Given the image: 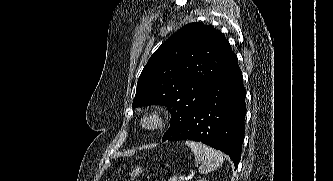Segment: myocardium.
<instances>
[{
    "label": "myocardium",
    "mask_w": 333,
    "mask_h": 181,
    "mask_svg": "<svg viewBox=\"0 0 333 181\" xmlns=\"http://www.w3.org/2000/svg\"><path fill=\"white\" fill-rule=\"evenodd\" d=\"M166 124V114L159 108L154 107L146 111L140 120L141 129L145 132H154L162 129Z\"/></svg>",
    "instance_id": "obj_1"
}]
</instances>
